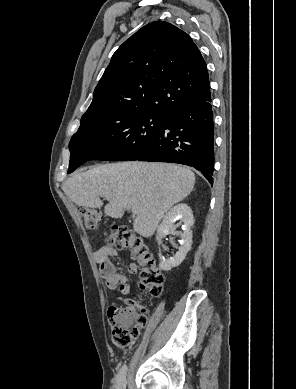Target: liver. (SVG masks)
<instances>
[{
  "instance_id": "6515ba94",
  "label": "liver",
  "mask_w": 296,
  "mask_h": 389,
  "mask_svg": "<svg viewBox=\"0 0 296 389\" xmlns=\"http://www.w3.org/2000/svg\"><path fill=\"white\" fill-rule=\"evenodd\" d=\"M195 185V174L170 163L123 162L103 164L66 179L62 189L76 205L100 208V197L109 201L105 215L119 219L134 208L133 229L151 237L164 214L186 198Z\"/></svg>"
}]
</instances>
